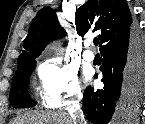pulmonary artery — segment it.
<instances>
[{
    "instance_id": "e3ab8cb5",
    "label": "pulmonary artery",
    "mask_w": 145,
    "mask_h": 124,
    "mask_svg": "<svg viewBox=\"0 0 145 124\" xmlns=\"http://www.w3.org/2000/svg\"><path fill=\"white\" fill-rule=\"evenodd\" d=\"M85 45H86V47H88L90 44H89V42H87ZM83 58H84L86 61L91 62V61L94 60L95 55H94V53H93L91 50H88V49H87V50H85L84 53H83Z\"/></svg>"
}]
</instances>
